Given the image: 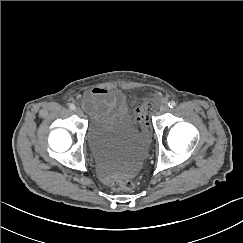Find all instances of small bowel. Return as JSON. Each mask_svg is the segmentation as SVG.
Segmentation results:
<instances>
[{"label": "small bowel", "instance_id": "c3829d8e", "mask_svg": "<svg viewBox=\"0 0 243 243\" xmlns=\"http://www.w3.org/2000/svg\"><path fill=\"white\" fill-rule=\"evenodd\" d=\"M83 107L93 114H104L125 108V96L118 89L95 87L87 92L82 100Z\"/></svg>", "mask_w": 243, "mask_h": 243}]
</instances>
